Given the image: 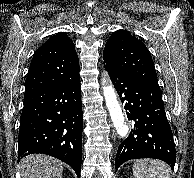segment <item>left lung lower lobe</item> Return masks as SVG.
Returning a JSON list of instances; mask_svg holds the SVG:
<instances>
[{"instance_id":"1","label":"left lung lower lobe","mask_w":194,"mask_h":178,"mask_svg":"<svg viewBox=\"0 0 194 178\" xmlns=\"http://www.w3.org/2000/svg\"><path fill=\"white\" fill-rule=\"evenodd\" d=\"M106 70L134 128L118 147L116 170L122 163L137 158L160 159L173 169L176 150L159 85L129 77L107 66Z\"/></svg>"}]
</instances>
